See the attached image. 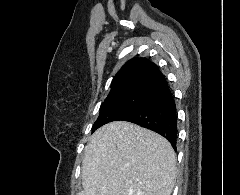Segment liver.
I'll use <instances>...</instances> for the list:
<instances>
[{"label": "liver", "instance_id": "obj_1", "mask_svg": "<svg viewBox=\"0 0 240 195\" xmlns=\"http://www.w3.org/2000/svg\"><path fill=\"white\" fill-rule=\"evenodd\" d=\"M85 195H171L176 153L169 141L130 121H111L84 149Z\"/></svg>", "mask_w": 240, "mask_h": 195}]
</instances>
